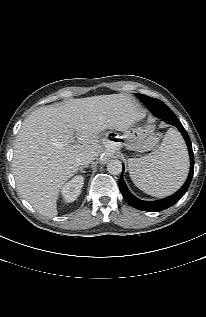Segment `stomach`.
I'll return each mask as SVG.
<instances>
[{
    "mask_svg": "<svg viewBox=\"0 0 206 317\" xmlns=\"http://www.w3.org/2000/svg\"><path fill=\"white\" fill-rule=\"evenodd\" d=\"M152 130L148 126L132 125L125 131L124 139L127 149L145 152L153 148Z\"/></svg>",
    "mask_w": 206,
    "mask_h": 317,
    "instance_id": "stomach-1",
    "label": "stomach"
}]
</instances>
